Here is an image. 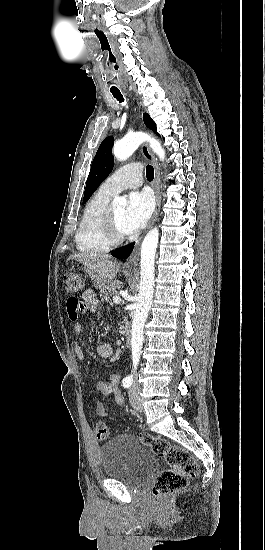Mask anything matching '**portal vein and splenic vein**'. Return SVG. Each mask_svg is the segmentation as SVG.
Instances as JSON below:
<instances>
[{
    "mask_svg": "<svg viewBox=\"0 0 265 550\" xmlns=\"http://www.w3.org/2000/svg\"><path fill=\"white\" fill-rule=\"evenodd\" d=\"M113 302H114L115 304H119V303L121 302V298H120L119 296H114V297H113Z\"/></svg>",
    "mask_w": 265,
    "mask_h": 550,
    "instance_id": "portal-vein-and-splenic-vein-1",
    "label": "portal vein and splenic vein"
}]
</instances>
